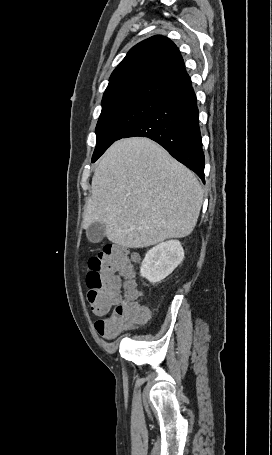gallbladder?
Listing matches in <instances>:
<instances>
[{
	"label": "gallbladder",
	"instance_id": "gallbladder-1",
	"mask_svg": "<svg viewBox=\"0 0 272 455\" xmlns=\"http://www.w3.org/2000/svg\"><path fill=\"white\" fill-rule=\"evenodd\" d=\"M86 236L90 242L98 243L105 237V225L99 222L92 223L86 228Z\"/></svg>",
	"mask_w": 272,
	"mask_h": 455
}]
</instances>
